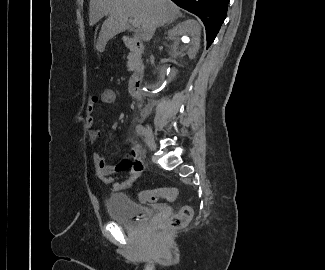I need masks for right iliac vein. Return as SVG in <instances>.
Listing matches in <instances>:
<instances>
[{
  "label": "right iliac vein",
  "instance_id": "right-iliac-vein-1",
  "mask_svg": "<svg viewBox=\"0 0 325 270\" xmlns=\"http://www.w3.org/2000/svg\"><path fill=\"white\" fill-rule=\"evenodd\" d=\"M145 140L151 150L156 149V143L151 128L148 126L144 131Z\"/></svg>",
  "mask_w": 325,
  "mask_h": 270
}]
</instances>
